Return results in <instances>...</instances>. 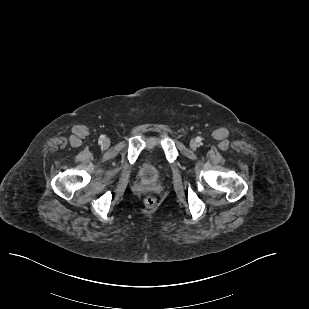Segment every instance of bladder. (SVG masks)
<instances>
[{
  "instance_id": "bladder-1",
  "label": "bladder",
  "mask_w": 309,
  "mask_h": 309,
  "mask_svg": "<svg viewBox=\"0 0 309 309\" xmlns=\"http://www.w3.org/2000/svg\"><path fill=\"white\" fill-rule=\"evenodd\" d=\"M140 174L142 179L146 181H154L160 177L161 170L155 163L147 161L141 166Z\"/></svg>"
}]
</instances>
